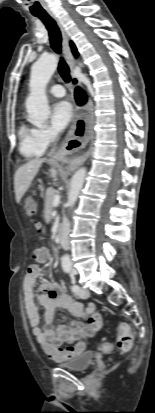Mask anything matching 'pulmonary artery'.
<instances>
[{"mask_svg":"<svg viewBox=\"0 0 155 413\" xmlns=\"http://www.w3.org/2000/svg\"><path fill=\"white\" fill-rule=\"evenodd\" d=\"M49 92L54 97H63L65 95V89L63 88L62 85H59V84L53 85L49 89Z\"/></svg>","mask_w":155,"mask_h":413,"instance_id":"pulmonary-artery-1","label":"pulmonary artery"}]
</instances>
